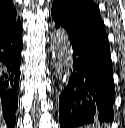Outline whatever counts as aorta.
Returning <instances> with one entry per match:
<instances>
[{
  "instance_id": "obj_1",
  "label": "aorta",
  "mask_w": 125,
  "mask_h": 128,
  "mask_svg": "<svg viewBox=\"0 0 125 128\" xmlns=\"http://www.w3.org/2000/svg\"><path fill=\"white\" fill-rule=\"evenodd\" d=\"M50 50L54 69L59 80L66 84L72 69V48L68 35L62 30H55L50 37Z\"/></svg>"
}]
</instances>
